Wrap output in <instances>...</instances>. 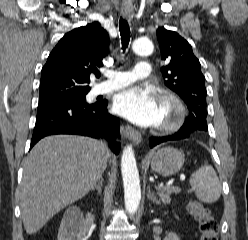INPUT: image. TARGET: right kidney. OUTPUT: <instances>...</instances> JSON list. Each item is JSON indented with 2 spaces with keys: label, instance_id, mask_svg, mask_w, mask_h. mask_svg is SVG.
<instances>
[{
  "label": "right kidney",
  "instance_id": "ca27d5eb",
  "mask_svg": "<svg viewBox=\"0 0 248 240\" xmlns=\"http://www.w3.org/2000/svg\"><path fill=\"white\" fill-rule=\"evenodd\" d=\"M86 219L92 221L94 216L90 213ZM86 228L82 223H77L64 218L58 231V240H85Z\"/></svg>",
  "mask_w": 248,
  "mask_h": 240
}]
</instances>
